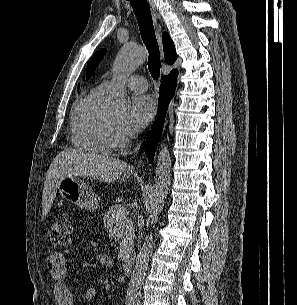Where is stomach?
Listing matches in <instances>:
<instances>
[{
	"label": "stomach",
	"mask_w": 297,
	"mask_h": 305,
	"mask_svg": "<svg viewBox=\"0 0 297 305\" xmlns=\"http://www.w3.org/2000/svg\"><path fill=\"white\" fill-rule=\"evenodd\" d=\"M57 190L63 199L80 208L92 212L98 208V201L93 190L76 177H64L59 182Z\"/></svg>",
	"instance_id": "obj_1"
}]
</instances>
